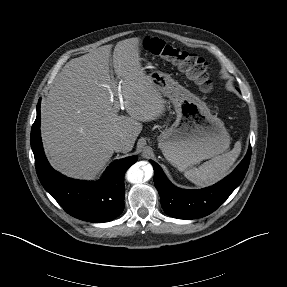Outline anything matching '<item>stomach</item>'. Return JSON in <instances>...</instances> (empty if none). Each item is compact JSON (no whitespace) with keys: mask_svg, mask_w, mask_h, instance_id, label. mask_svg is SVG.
<instances>
[{"mask_svg":"<svg viewBox=\"0 0 287 287\" xmlns=\"http://www.w3.org/2000/svg\"><path fill=\"white\" fill-rule=\"evenodd\" d=\"M148 77L170 99L176 112L175 122L158 137V147L168 162L184 171L229 148L224 123L212 115L205 102L167 74L154 71Z\"/></svg>","mask_w":287,"mask_h":287,"instance_id":"1","label":"stomach"}]
</instances>
